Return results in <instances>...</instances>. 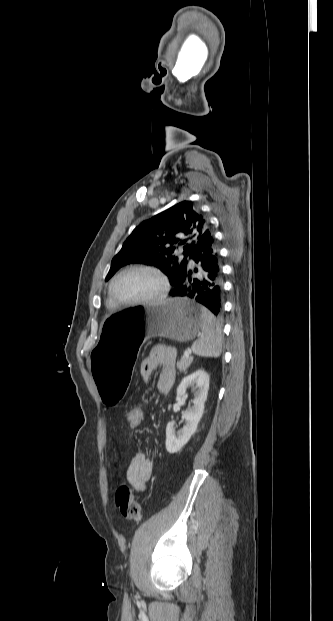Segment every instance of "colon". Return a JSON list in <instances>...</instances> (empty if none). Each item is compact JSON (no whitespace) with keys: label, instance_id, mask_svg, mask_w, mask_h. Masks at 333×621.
Masks as SVG:
<instances>
[{"label":"colon","instance_id":"obj_1","mask_svg":"<svg viewBox=\"0 0 333 621\" xmlns=\"http://www.w3.org/2000/svg\"><path fill=\"white\" fill-rule=\"evenodd\" d=\"M143 412L140 408H131L125 413V420L129 427L136 428L140 425ZM115 504L121 515L128 519L140 520V505L135 500L132 490L126 484L120 485L115 493Z\"/></svg>","mask_w":333,"mask_h":621}]
</instances>
